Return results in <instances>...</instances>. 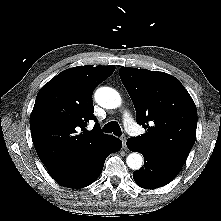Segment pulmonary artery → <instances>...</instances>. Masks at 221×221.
Here are the masks:
<instances>
[{"label":"pulmonary artery","mask_w":221,"mask_h":221,"mask_svg":"<svg viewBox=\"0 0 221 221\" xmlns=\"http://www.w3.org/2000/svg\"><path fill=\"white\" fill-rule=\"evenodd\" d=\"M123 121H124V125L126 130L130 133V134H136L137 133V126L134 122V120L132 119V117L130 116L129 113H125L123 116Z\"/></svg>","instance_id":"e3ab8cb5"}]
</instances>
